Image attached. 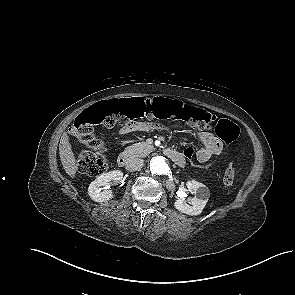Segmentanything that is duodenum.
I'll return each mask as SVG.
<instances>
[{
  "label": "duodenum",
  "instance_id": "obj_1",
  "mask_svg": "<svg viewBox=\"0 0 295 295\" xmlns=\"http://www.w3.org/2000/svg\"><path fill=\"white\" fill-rule=\"evenodd\" d=\"M166 155L176 164L182 166L184 165V157L182 154L173 149H166ZM132 159V156L129 152H122L118 155L117 163L120 167L127 165Z\"/></svg>",
  "mask_w": 295,
  "mask_h": 295
}]
</instances>
